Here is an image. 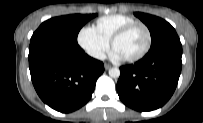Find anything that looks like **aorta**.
I'll use <instances>...</instances> for the list:
<instances>
[{
  "label": "aorta",
  "instance_id": "aorta-1",
  "mask_svg": "<svg viewBox=\"0 0 203 123\" xmlns=\"http://www.w3.org/2000/svg\"><path fill=\"white\" fill-rule=\"evenodd\" d=\"M109 76L112 78H118L120 76V70L118 68H111L109 70Z\"/></svg>",
  "mask_w": 203,
  "mask_h": 123
}]
</instances>
